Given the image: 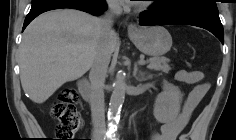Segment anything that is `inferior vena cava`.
Instances as JSON below:
<instances>
[{"label":"inferior vena cava","instance_id":"602c4592","mask_svg":"<svg viewBox=\"0 0 236 140\" xmlns=\"http://www.w3.org/2000/svg\"><path fill=\"white\" fill-rule=\"evenodd\" d=\"M109 12L100 19L101 39L89 74L91 82V113L95 131L105 133L104 82L111 58V41L115 32L112 29L114 15H120L122 8L117 0L107 2Z\"/></svg>","mask_w":236,"mask_h":140}]
</instances>
